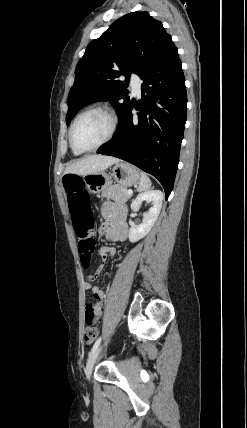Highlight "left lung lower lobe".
Returning a JSON list of instances; mask_svg holds the SVG:
<instances>
[{
    "label": "left lung lower lobe",
    "mask_w": 247,
    "mask_h": 428,
    "mask_svg": "<svg viewBox=\"0 0 247 428\" xmlns=\"http://www.w3.org/2000/svg\"><path fill=\"white\" fill-rule=\"evenodd\" d=\"M142 98L128 103L115 138L98 153L123 159L152 174L170 195L186 123V87L177 48L141 76ZM133 107L138 110L132 114Z\"/></svg>",
    "instance_id": "left-lung-lower-lobe-1"
}]
</instances>
